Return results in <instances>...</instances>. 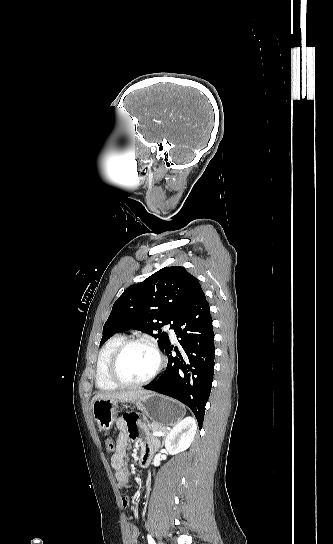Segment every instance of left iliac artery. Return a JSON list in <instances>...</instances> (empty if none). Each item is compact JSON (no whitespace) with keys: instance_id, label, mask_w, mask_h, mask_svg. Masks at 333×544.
<instances>
[{"instance_id":"left-iliac-artery-1","label":"left iliac artery","mask_w":333,"mask_h":544,"mask_svg":"<svg viewBox=\"0 0 333 544\" xmlns=\"http://www.w3.org/2000/svg\"><path fill=\"white\" fill-rule=\"evenodd\" d=\"M147 539L149 544H155V541L150 534L147 535Z\"/></svg>"}]
</instances>
